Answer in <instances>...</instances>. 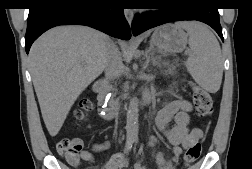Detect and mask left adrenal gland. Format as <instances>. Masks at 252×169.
<instances>
[{"mask_svg":"<svg viewBox=\"0 0 252 169\" xmlns=\"http://www.w3.org/2000/svg\"><path fill=\"white\" fill-rule=\"evenodd\" d=\"M145 56L147 63L152 62L154 66L159 65L161 61V55H155V50L152 43H150L149 48L146 50Z\"/></svg>","mask_w":252,"mask_h":169,"instance_id":"left-adrenal-gland-1","label":"left adrenal gland"}]
</instances>
